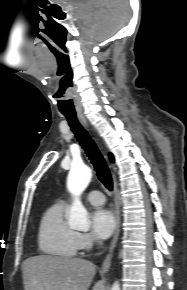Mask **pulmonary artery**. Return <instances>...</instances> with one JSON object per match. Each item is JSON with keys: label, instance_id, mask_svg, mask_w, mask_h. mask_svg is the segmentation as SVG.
I'll list each match as a JSON object with an SVG mask.
<instances>
[{"label": "pulmonary artery", "instance_id": "pulmonary-artery-1", "mask_svg": "<svg viewBox=\"0 0 187 290\" xmlns=\"http://www.w3.org/2000/svg\"><path fill=\"white\" fill-rule=\"evenodd\" d=\"M87 200L93 205H102L105 202L104 195L99 191L88 193Z\"/></svg>", "mask_w": 187, "mask_h": 290}]
</instances>
